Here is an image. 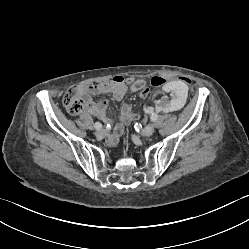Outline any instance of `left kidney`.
Segmentation results:
<instances>
[{
    "mask_svg": "<svg viewBox=\"0 0 249 249\" xmlns=\"http://www.w3.org/2000/svg\"><path fill=\"white\" fill-rule=\"evenodd\" d=\"M188 85L180 78H173L164 85V91L168 95L161 96L156 101V106L161 111L181 112L187 106L189 98Z\"/></svg>",
    "mask_w": 249,
    "mask_h": 249,
    "instance_id": "1",
    "label": "left kidney"
}]
</instances>
